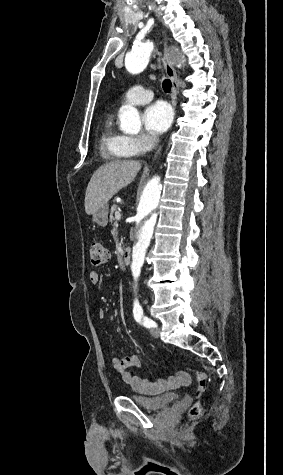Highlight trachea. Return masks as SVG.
<instances>
[{
    "mask_svg": "<svg viewBox=\"0 0 283 475\" xmlns=\"http://www.w3.org/2000/svg\"><path fill=\"white\" fill-rule=\"evenodd\" d=\"M162 87L165 92L167 93L170 92L171 87H172L171 81L169 79L163 80Z\"/></svg>",
    "mask_w": 283,
    "mask_h": 475,
    "instance_id": "3493384b",
    "label": "trachea"
}]
</instances>
